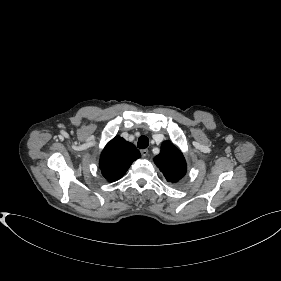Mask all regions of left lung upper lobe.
I'll list each match as a JSON object with an SVG mask.
<instances>
[{"instance_id": "obj_1", "label": "left lung upper lobe", "mask_w": 281, "mask_h": 281, "mask_svg": "<svg viewBox=\"0 0 281 281\" xmlns=\"http://www.w3.org/2000/svg\"><path fill=\"white\" fill-rule=\"evenodd\" d=\"M154 162L168 182L176 183L186 174L187 166L184 156L170 141L162 143L161 151L154 158Z\"/></svg>"}]
</instances>
